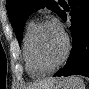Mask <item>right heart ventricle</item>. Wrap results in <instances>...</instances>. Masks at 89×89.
I'll return each mask as SVG.
<instances>
[{"mask_svg": "<svg viewBox=\"0 0 89 89\" xmlns=\"http://www.w3.org/2000/svg\"><path fill=\"white\" fill-rule=\"evenodd\" d=\"M36 25L37 24L34 20H30L25 27L23 37V58L25 62V69L28 75L33 78L43 77L47 74L37 68L31 54V37Z\"/></svg>", "mask_w": 89, "mask_h": 89, "instance_id": "obj_1", "label": "right heart ventricle"}]
</instances>
